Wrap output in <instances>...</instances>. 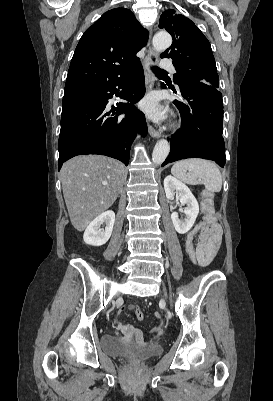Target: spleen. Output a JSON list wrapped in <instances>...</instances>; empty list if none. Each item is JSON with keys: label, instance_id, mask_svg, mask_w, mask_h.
<instances>
[{"label": "spleen", "instance_id": "obj_1", "mask_svg": "<svg viewBox=\"0 0 273 401\" xmlns=\"http://www.w3.org/2000/svg\"><path fill=\"white\" fill-rule=\"evenodd\" d=\"M190 170V172H186ZM172 174L187 184H205L209 192H219L222 186V174L215 162L203 158H185L178 160L171 168ZM201 178V180H197Z\"/></svg>", "mask_w": 273, "mask_h": 401}]
</instances>
